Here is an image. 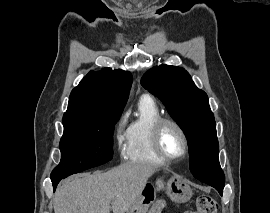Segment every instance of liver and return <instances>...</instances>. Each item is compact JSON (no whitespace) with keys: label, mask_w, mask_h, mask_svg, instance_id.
<instances>
[{"label":"liver","mask_w":270,"mask_h":213,"mask_svg":"<svg viewBox=\"0 0 270 213\" xmlns=\"http://www.w3.org/2000/svg\"><path fill=\"white\" fill-rule=\"evenodd\" d=\"M157 170L156 165L124 163L104 173L76 176L57 189L54 213H125Z\"/></svg>","instance_id":"liver-1"}]
</instances>
